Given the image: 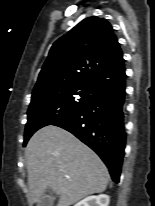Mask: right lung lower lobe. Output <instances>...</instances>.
Segmentation results:
<instances>
[{
  "label": "right lung lower lobe",
  "instance_id": "1",
  "mask_svg": "<svg viewBox=\"0 0 155 206\" xmlns=\"http://www.w3.org/2000/svg\"><path fill=\"white\" fill-rule=\"evenodd\" d=\"M125 88L126 76L102 89L82 109L54 124L71 132L93 149L116 183L119 182L126 143Z\"/></svg>",
  "mask_w": 155,
  "mask_h": 206
}]
</instances>
